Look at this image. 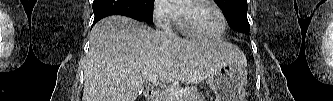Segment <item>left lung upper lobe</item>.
Instances as JSON below:
<instances>
[{
    "instance_id": "obj_1",
    "label": "left lung upper lobe",
    "mask_w": 333,
    "mask_h": 101,
    "mask_svg": "<svg viewBox=\"0 0 333 101\" xmlns=\"http://www.w3.org/2000/svg\"><path fill=\"white\" fill-rule=\"evenodd\" d=\"M226 14L233 30L247 34L250 26L247 19V0H214Z\"/></svg>"
}]
</instances>
